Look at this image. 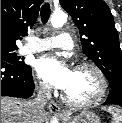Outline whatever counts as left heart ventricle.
Returning a JSON list of instances; mask_svg holds the SVG:
<instances>
[{
	"instance_id": "obj_1",
	"label": "left heart ventricle",
	"mask_w": 122,
	"mask_h": 123,
	"mask_svg": "<svg viewBox=\"0 0 122 123\" xmlns=\"http://www.w3.org/2000/svg\"><path fill=\"white\" fill-rule=\"evenodd\" d=\"M100 90V80L97 74L89 68L75 69L73 78L65 89V93L75 101H85L93 98Z\"/></svg>"
}]
</instances>
